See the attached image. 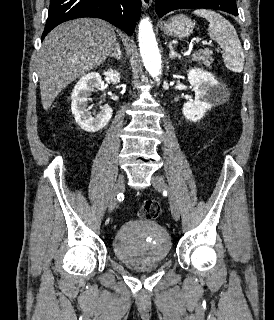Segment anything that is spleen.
Returning <instances> with one entry per match:
<instances>
[{
	"label": "spleen",
	"mask_w": 274,
	"mask_h": 320,
	"mask_svg": "<svg viewBox=\"0 0 274 320\" xmlns=\"http://www.w3.org/2000/svg\"><path fill=\"white\" fill-rule=\"evenodd\" d=\"M192 14L209 22L208 36L223 50V62L227 70L240 74L244 68V54L236 30L223 16L211 10H194Z\"/></svg>",
	"instance_id": "3e777b00"
}]
</instances>
